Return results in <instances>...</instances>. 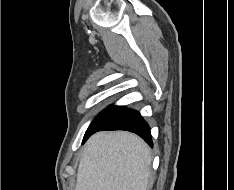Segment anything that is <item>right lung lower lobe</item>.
<instances>
[{
    "label": "right lung lower lobe",
    "instance_id": "right-lung-lower-lobe-1",
    "mask_svg": "<svg viewBox=\"0 0 234 190\" xmlns=\"http://www.w3.org/2000/svg\"><path fill=\"white\" fill-rule=\"evenodd\" d=\"M103 130H126L136 133L153 147L150 127L139 112L125 106H116L106 121L96 130L85 134L83 143L95 132Z\"/></svg>",
    "mask_w": 234,
    "mask_h": 190
}]
</instances>
